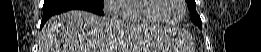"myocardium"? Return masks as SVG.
I'll return each instance as SVG.
<instances>
[{"label":"myocardium","instance_id":"obj_1","mask_svg":"<svg viewBox=\"0 0 261 52\" xmlns=\"http://www.w3.org/2000/svg\"><path fill=\"white\" fill-rule=\"evenodd\" d=\"M181 6L182 13L181 16L175 21H169L161 17L160 12L165 9V2L163 0H152L150 3V9L153 10L154 14L158 17L159 21L163 24L175 25L180 23L186 15V5L184 0H178Z\"/></svg>","mask_w":261,"mask_h":52}]
</instances>
